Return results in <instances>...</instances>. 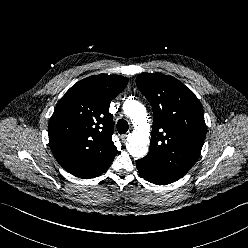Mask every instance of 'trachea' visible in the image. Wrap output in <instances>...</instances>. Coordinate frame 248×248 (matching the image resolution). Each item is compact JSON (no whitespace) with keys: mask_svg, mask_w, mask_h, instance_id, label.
Segmentation results:
<instances>
[{"mask_svg":"<svg viewBox=\"0 0 248 248\" xmlns=\"http://www.w3.org/2000/svg\"><path fill=\"white\" fill-rule=\"evenodd\" d=\"M129 125L128 122L124 119H120L117 123V130L119 134H124L128 131Z\"/></svg>","mask_w":248,"mask_h":248,"instance_id":"3493384b","label":"trachea"}]
</instances>
